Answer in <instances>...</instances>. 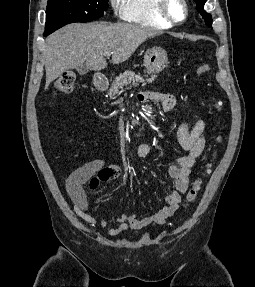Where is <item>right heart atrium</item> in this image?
I'll list each match as a JSON object with an SVG mask.
<instances>
[{"instance_id": "1", "label": "right heart atrium", "mask_w": 255, "mask_h": 287, "mask_svg": "<svg viewBox=\"0 0 255 287\" xmlns=\"http://www.w3.org/2000/svg\"><path fill=\"white\" fill-rule=\"evenodd\" d=\"M109 48H121V47H109Z\"/></svg>"}]
</instances>
